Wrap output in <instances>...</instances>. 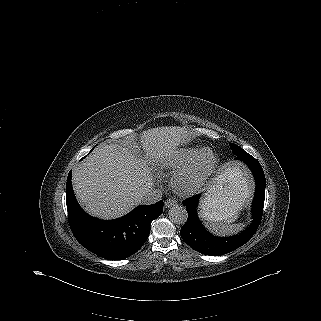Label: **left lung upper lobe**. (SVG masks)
<instances>
[{"instance_id": "1", "label": "left lung upper lobe", "mask_w": 321, "mask_h": 321, "mask_svg": "<svg viewBox=\"0 0 321 321\" xmlns=\"http://www.w3.org/2000/svg\"><path fill=\"white\" fill-rule=\"evenodd\" d=\"M229 145H230V148H231L232 152L235 155H239V153L244 152V150L241 147H239L238 145H236V144L229 143Z\"/></svg>"}]
</instances>
